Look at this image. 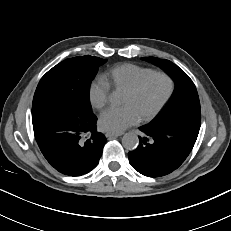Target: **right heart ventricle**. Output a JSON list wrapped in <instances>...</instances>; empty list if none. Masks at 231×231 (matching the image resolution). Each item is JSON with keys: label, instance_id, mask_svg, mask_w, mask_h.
I'll use <instances>...</instances> for the list:
<instances>
[{"label": "right heart ventricle", "instance_id": "e07e8e85", "mask_svg": "<svg viewBox=\"0 0 231 231\" xmlns=\"http://www.w3.org/2000/svg\"><path fill=\"white\" fill-rule=\"evenodd\" d=\"M152 71L154 70L148 67L125 63L110 69L104 79L115 89L127 90Z\"/></svg>", "mask_w": 231, "mask_h": 231}]
</instances>
